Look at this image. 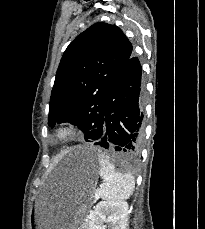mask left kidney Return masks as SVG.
<instances>
[{
    "mask_svg": "<svg viewBox=\"0 0 205 229\" xmlns=\"http://www.w3.org/2000/svg\"><path fill=\"white\" fill-rule=\"evenodd\" d=\"M128 203L125 201H101L90 216L88 229H126Z\"/></svg>",
    "mask_w": 205,
    "mask_h": 229,
    "instance_id": "1",
    "label": "left kidney"
}]
</instances>
